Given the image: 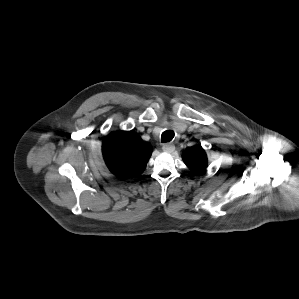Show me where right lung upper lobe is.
Returning <instances> with one entry per match:
<instances>
[{
	"mask_svg": "<svg viewBox=\"0 0 299 299\" xmlns=\"http://www.w3.org/2000/svg\"><path fill=\"white\" fill-rule=\"evenodd\" d=\"M102 153L109 170L123 179L143 173L152 149L132 131H121L105 137Z\"/></svg>",
	"mask_w": 299,
	"mask_h": 299,
	"instance_id": "cb5924a9",
	"label": "right lung upper lobe"
}]
</instances>
